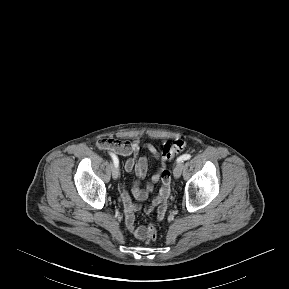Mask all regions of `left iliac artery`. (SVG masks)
<instances>
[{"label":"left iliac artery","instance_id":"left-iliac-artery-1","mask_svg":"<svg viewBox=\"0 0 289 289\" xmlns=\"http://www.w3.org/2000/svg\"><path fill=\"white\" fill-rule=\"evenodd\" d=\"M191 158V155L190 154H183L182 156H180L178 159H177V162L180 163V162H183L185 160H189Z\"/></svg>","mask_w":289,"mask_h":289}]
</instances>
